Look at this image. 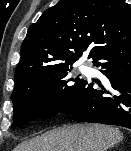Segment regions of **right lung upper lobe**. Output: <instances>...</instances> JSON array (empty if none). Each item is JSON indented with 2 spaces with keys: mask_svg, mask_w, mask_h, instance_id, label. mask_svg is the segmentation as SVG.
Segmentation results:
<instances>
[{
  "mask_svg": "<svg viewBox=\"0 0 131 151\" xmlns=\"http://www.w3.org/2000/svg\"><path fill=\"white\" fill-rule=\"evenodd\" d=\"M131 33V11L123 0H61L32 24L21 46L15 88L72 65Z\"/></svg>",
  "mask_w": 131,
  "mask_h": 151,
  "instance_id": "cb5924a9",
  "label": "right lung upper lobe"
}]
</instances>
